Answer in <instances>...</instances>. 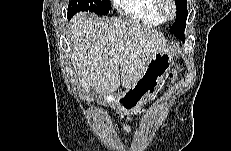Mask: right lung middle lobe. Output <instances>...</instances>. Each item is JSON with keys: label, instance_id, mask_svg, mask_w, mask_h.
Wrapping results in <instances>:
<instances>
[{"label": "right lung middle lobe", "instance_id": "right-lung-middle-lobe-1", "mask_svg": "<svg viewBox=\"0 0 231 151\" xmlns=\"http://www.w3.org/2000/svg\"><path fill=\"white\" fill-rule=\"evenodd\" d=\"M111 10L109 0H71L69 2L68 16L72 17L80 11L94 12L99 15H107Z\"/></svg>", "mask_w": 231, "mask_h": 151}]
</instances>
